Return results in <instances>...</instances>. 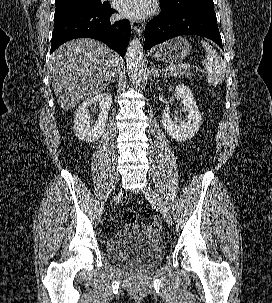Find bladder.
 I'll use <instances>...</instances> for the list:
<instances>
[{
	"label": "bladder",
	"instance_id": "obj_1",
	"mask_svg": "<svg viewBox=\"0 0 272 303\" xmlns=\"http://www.w3.org/2000/svg\"><path fill=\"white\" fill-rule=\"evenodd\" d=\"M164 255L161 236L155 229L144 224H127L106 242L108 259L133 269L151 268L161 262Z\"/></svg>",
	"mask_w": 272,
	"mask_h": 303
}]
</instances>
